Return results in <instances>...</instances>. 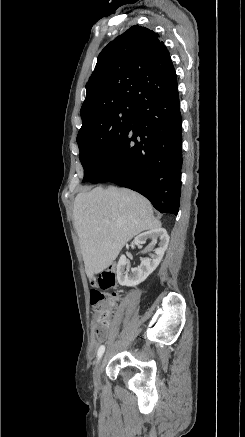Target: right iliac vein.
Wrapping results in <instances>:
<instances>
[{
  "mask_svg": "<svg viewBox=\"0 0 245 437\" xmlns=\"http://www.w3.org/2000/svg\"><path fill=\"white\" fill-rule=\"evenodd\" d=\"M104 364V357H102L99 362L97 363L94 372H93V380L95 385H98L100 382V374H101V370Z\"/></svg>",
  "mask_w": 245,
  "mask_h": 437,
  "instance_id": "right-iliac-vein-1",
  "label": "right iliac vein"
}]
</instances>
